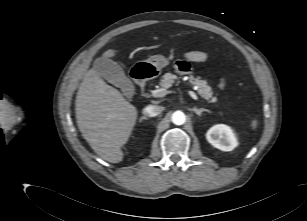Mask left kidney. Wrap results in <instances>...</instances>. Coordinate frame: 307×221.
Listing matches in <instances>:
<instances>
[{"label":"left kidney","mask_w":307,"mask_h":221,"mask_svg":"<svg viewBox=\"0 0 307 221\" xmlns=\"http://www.w3.org/2000/svg\"><path fill=\"white\" fill-rule=\"evenodd\" d=\"M206 138L211 145L222 151H232L238 145L232 129L224 124L211 127L206 133Z\"/></svg>","instance_id":"1"}]
</instances>
